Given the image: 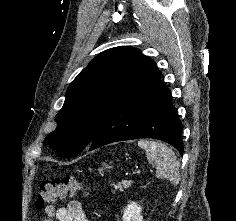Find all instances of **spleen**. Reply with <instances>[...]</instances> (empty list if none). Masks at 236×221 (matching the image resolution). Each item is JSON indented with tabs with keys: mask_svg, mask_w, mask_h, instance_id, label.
<instances>
[{
	"mask_svg": "<svg viewBox=\"0 0 236 221\" xmlns=\"http://www.w3.org/2000/svg\"><path fill=\"white\" fill-rule=\"evenodd\" d=\"M138 146L146 151L149 163L156 165L157 178L167 179L173 185L180 181V163L173 150L161 142L139 140Z\"/></svg>",
	"mask_w": 236,
	"mask_h": 221,
	"instance_id": "spleen-1",
	"label": "spleen"
}]
</instances>
